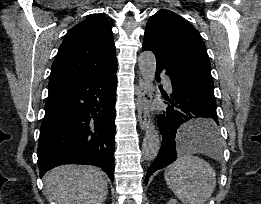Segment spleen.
<instances>
[{"mask_svg":"<svg viewBox=\"0 0 261 204\" xmlns=\"http://www.w3.org/2000/svg\"><path fill=\"white\" fill-rule=\"evenodd\" d=\"M202 119L185 123L181 132L188 133ZM195 150L215 153L219 149V138L215 141H197L190 146ZM166 184L184 204H205L211 197L215 186V171L203 159L191 154L180 155L169 165L164 174Z\"/></svg>","mask_w":261,"mask_h":204,"instance_id":"obj_1","label":"spleen"}]
</instances>
